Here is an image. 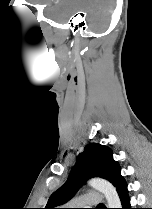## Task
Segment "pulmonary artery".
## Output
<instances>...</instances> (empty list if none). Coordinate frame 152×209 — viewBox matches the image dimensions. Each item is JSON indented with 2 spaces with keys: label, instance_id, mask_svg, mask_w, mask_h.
Wrapping results in <instances>:
<instances>
[{
  "label": "pulmonary artery",
  "instance_id": "obj_1",
  "mask_svg": "<svg viewBox=\"0 0 152 209\" xmlns=\"http://www.w3.org/2000/svg\"><path fill=\"white\" fill-rule=\"evenodd\" d=\"M102 200V194L98 192H89L73 199L72 203L77 207L99 206Z\"/></svg>",
  "mask_w": 152,
  "mask_h": 209
}]
</instances>
